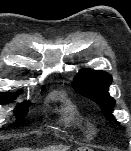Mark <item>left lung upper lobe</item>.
Listing matches in <instances>:
<instances>
[{
    "mask_svg": "<svg viewBox=\"0 0 131 151\" xmlns=\"http://www.w3.org/2000/svg\"><path fill=\"white\" fill-rule=\"evenodd\" d=\"M111 82L112 77L108 73L85 69L76 75L73 87L79 94L95 101L101 107L104 116L109 121L116 123L111 115L115 100L108 93Z\"/></svg>",
    "mask_w": 131,
    "mask_h": 151,
    "instance_id": "left-lung-upper-lobe-1",
    "label": "left lung upper lobe"
}]
</instances>
